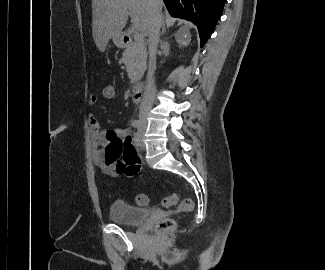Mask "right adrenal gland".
<instances>
[{"label":"right adrenal gland","mask_w":325,"mask_h":270,"mask_svg":"<svg viewBox=\"0 0 325 270\" xmlns=\"http://www.w3.org/2000/svg\"><path fill=\"white\" fill-rule=\"evenodd\" d=\"M166 27H165V21L162 20V34L165 33Z\"/></svg>","instance_id":"2a0ac1e0"}]
</instances>
